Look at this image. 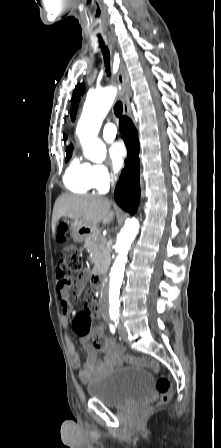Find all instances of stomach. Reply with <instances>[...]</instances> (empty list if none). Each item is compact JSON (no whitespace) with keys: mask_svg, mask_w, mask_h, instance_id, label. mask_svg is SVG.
<instances>
[{"mask_svg":"<svg viewBox=\"0 0 221 448\" xmlns=\"http://www.w3.org/2000/svg\"><path fill=\"white\" fill-rule=\"evenodd\" d=\"M72 237L76 242H83L95 229L94 225H85L81 220H74L70 224Z\"/></svg>","mask_w":221,"mask_h":448,"instance_id":"obj_1","label":"stomach"}]
</instances>
